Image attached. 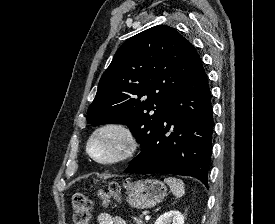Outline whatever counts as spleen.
I'll return each instance as SVG.
<instances>
[{
    "label": "spleen",
    "mask_w": 275,
    "mask_h": 224,
    "mask_svg": "<svg viewBox=\"0 0 275 224\" xmlns=\"http://www.w3.org/2000/svg\"><path fill=\"white\" fill-rule=\"evenodd\" d=\"M164 182L170 187L172 193L176 197H182L184 195L185 188L182 180L174 177H167L164 179Z\"/></svg>",
    "instance_id": "3e777b00"
}]
</instances>
